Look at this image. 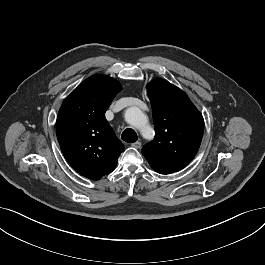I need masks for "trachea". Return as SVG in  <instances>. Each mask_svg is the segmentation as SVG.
Wrapping results in <instances>:
<instances>
[{
  "instance_id": "trachea-1",
  "label": "trachea",
  "mask_w": 265,
  "mask_h": 265,
  "mask_svg": "<svg viewBox=\"0 0 265 265\" xmlns=\"http://www.w3.org/2000/svg\"><path fill=\"white\" fill-rule=\"evenodd\" d=\"M121 138L127 143H134L138 139L136 132L131 128L125 129Z\"/></svg>"
}]
</instances>
